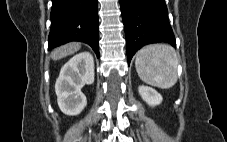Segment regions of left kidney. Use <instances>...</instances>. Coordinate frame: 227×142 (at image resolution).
Listing matches in <instances>:
<instances>
[{
  "mask_svg": "<svg viewBox=\"0 0 227 142\" xmlns=\"http://www.w3.org/2000/svg\"><path fill=\"white\" fill-rule=\"evenodd\" d=\"M139 94L142 99L149 105V106H157L159 105L163 98L161 94H159L155 89L148 87V86H139L138 88Z\"/></svg>",
  "mask_w": 227,
  "mask_h": 142,
  "instance_id": "1",
  "label": "left kidney"
}]
</instances>
